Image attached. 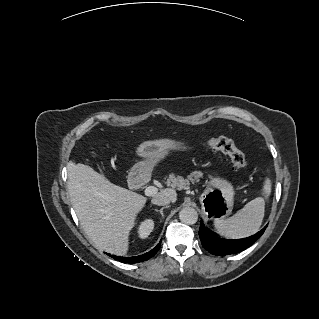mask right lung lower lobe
Wrapping results in <instances>:
<instances>
[{"mask_svg": "<svg viewBox=\"0 0 319 319\" xmlns=\"http://www.w3.org/2000/svg\"><path fill=\"white\" fill-rule=\"evenodd\" d=\"M161 245V241L149 252L139 255V256H134V257H120V256H115V255H110L112 258L120 261V262H124V263H138V262H142V261H146L148 259H150L151 257H153L159 250Z\"/></svg>", "mask_w": 319, "mask_h": 319, "instance_id": "98d812e1", "label": "right lung lower lobe"}]
</instances>
